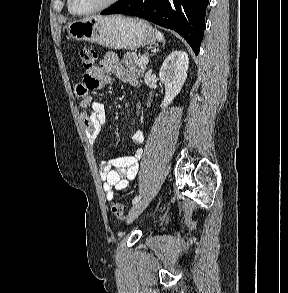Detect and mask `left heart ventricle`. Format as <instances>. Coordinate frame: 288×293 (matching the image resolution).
Here are the masks:
<instances>
[{
    "mask_svg": "<svg viewBox=\"0 0 288 293\" xmlns=\"http://www.w3.org/2000/svg\"><path fill=\"white\" fill-rule=\"evenodd\" d=\"M107 0H73L72 5L76 11H87L93 9Z\"/></svg>",
    "mask_w": 288,
    "mask_h": 293,
    "instance_id": "1",
    "label": "left heart ventricle"
}]
</instances>
